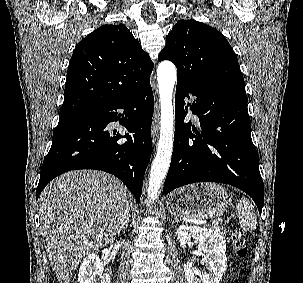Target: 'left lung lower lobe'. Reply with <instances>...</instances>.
I'll return each mask as SVG.
<instances>
[{"instance_id":"obj_1","label":"left lung lower lobe","mask_w":303,"mask_h":283,"mask_svg":"<svg viewBox=\"0 0 303 283\" xmlns=\"http://www.w3.org/2000/svg\"><path fill=\"white\" fill-rule=\"evenodd\" d=\"M191 96L188 106L199 118L200 132L191 122H183L187 115L184 98ZM175 111L174 149L163 194L195 182L225 183L246 192L261 214L264 186L251 139L247 96L177 79Z\"/></svg>"}]
</instances>
